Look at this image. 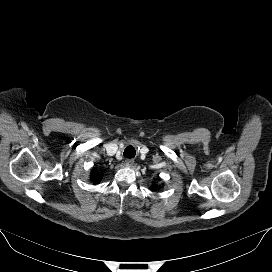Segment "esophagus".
I'll return each mask as SVG.
<instances>
[{"label":"esophagus","instance_id":"1","mask_svg":"<svg viewBox=\"0 0 272 272\" xmlns=\"http://www.w3.org/2000/svg\"><path fill=\"white\" fill-rule=\"evenodd\" d=\"M124 164L126 167H132L134 164V160L133 159H126Z\"/></svg>","mask_w":272,"mask_h":272}]
</instances>
